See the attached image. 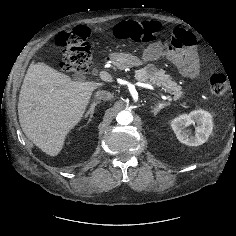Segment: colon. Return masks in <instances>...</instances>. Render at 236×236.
Here are the masks:
<instances>
[{"label":"colon","instance_id":"1","mask_svg":"<svg viewBox=\"0 0 236 236\" xmlns=\"http://www.w3.org/2000/svg\"><path fill=\"white\" fill-rule=\"evenodd\" d=\"M161 30L157 21H123L116 25L117 38L134 43L154 42ZM90 32L85 26H76L61 32L56 43L64 51L62 69L66 72L83 75L88 72L91 61L89 44ZM210 92L214 96L224 94L228 88L227 78L223 74H213L209 79Z\"/></svg>","mask_w":236,"mask_h":236}]
</instances>
